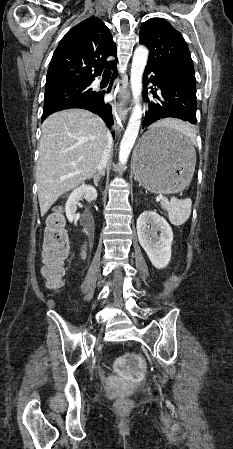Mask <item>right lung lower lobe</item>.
Returning a JSON list of instances; mask_svg holds the SVG:
<instances>
[{"instance_id":"right-lung-lower-lobe-1","label":"right lung lower lobe","mask_w":233,"mask_h":449,"mask_svg":"<svg viewBox=\"0 0 233 449\" xmlns=\"http://www.w3.org/2000/svg\"><path fill=\"white\" fill-rule=\"evenodd\" d=\"M116 64L117 63H115L114 65H112L110 67L113 70V78H112L110 87L107 89V92H110L112 82L117 76ZM103 98H104L103 92H98V93L95 92V94L93 96H91L90 98L68 102L63 105L57 106L53 109L43 111L42 122L50 114H52L54 112L64 110V109H70V108H81V109H86L93 113H96L110 126L113 124L112 108L108 103L107 104L104 103ZM112 134L114 136V133H112Z\"/></svg>"}]
</instances>
